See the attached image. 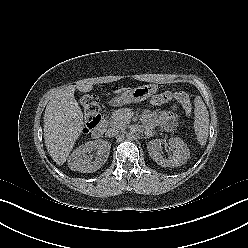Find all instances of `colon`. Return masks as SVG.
<instances>
[{"label":"colon","instance_id":"5ec220e1","mask_svg":"<svg viewBox=\"0 0 248 248\" xmlns=\"http://www.w3.org/2000/svg\"><path fill=\"white\" fill-rule=\"evenodd\" d=\"M172 99L181 103L187 114L191 113L192 104L189 95L182 91L160 93L152 98V102L154 104H164ZM80 100L85 113V127L87 130H93L101 119L98 97L93 94H84Z\"/></svg>","mask_w":248,"mask_h":248}]
</instances>
